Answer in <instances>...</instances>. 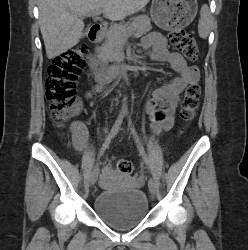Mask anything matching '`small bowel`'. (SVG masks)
Wrapping results in <instances>:
<instances>
[{
	"label": "small bowel",
	"mask_w": 248,
	"mask_h": 250,
	"mask_svg": "<svg viewBox=\"0 0 248 250\" xmlns=\"http://www.w3.org/2000/svg\"><path fill=\"white\" fill-rule=\"evenodd\" d=\"M141 48L149 52L150 58L155 62H168L171 68L178 73L177 77L157 88L153 97L149 99L144 109L151 121V129L159 135L170 130L174 124L175 113L178 107L180 94L191 83H198L199 70L191 65L178 52L168 48V42L164 35L158 32L147 34L142 41ZM103 84H97L87 93L90 99L95 93L101 91ZM72 141L78 151H83L88 143V131L81 121H75L71 125ZM113 169L107 165L103 169L102 182L106 183Z\"/></svg>",
	"instance_id": "small-bowel-1"
}]
</instances>
